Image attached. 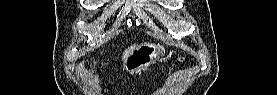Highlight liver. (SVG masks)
Segmentation results:
<instances>
[{
	"label": "liver",
	"mask_w": 277,
	"mask_h": 95,
	"mask_svg": "<svg viewBox=\"0 0 277 95\" xmlns=\"http://www.w3.org/2000/svg\"><path fill=\"white\" fill-rule=\"evenodd\" d=\"M135 47H136V45L134 44V45L130 46L128 49H126L123 53L122 58L125 59V57L129 54V52H131Z\"/></svg>",
	"instance_id": "liver-1"
}]
</instances>
